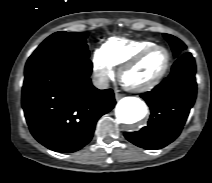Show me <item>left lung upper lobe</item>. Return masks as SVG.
Returning a JSON list of instances; mask_svg holds the SVG:
<instances>
[{
    "mask_svg": "<svg viewBox=\"0 0 212 183\" xmlns=\"http://www.w3.org/2000/svg\"><path fill=\"white\" fill-rule=\"evenodd\" d=\"M163 35L171 45L175 57L178 58L179 56L185 53L186 45L180 39L169 34H163Z\"/></svg>",
    "mask_w": 212,
    "mask_h": 183,
    "instance_id": "obj_1",
    "label": "left lung upper lobe"
}]
</instances>
